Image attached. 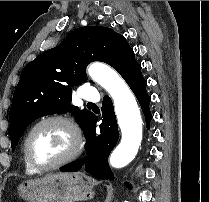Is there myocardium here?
Here are the masks:
<instances>
[{
  "instance_id": "myocardium-1",
  "label": "myocardium",
  "mask_w": 209,
  "mask_h": 202,
  "mask_svg": "<svg viewBox=\"0 0 209 202\" xmlns=\"http://www.w3.org/2000/svg\"><path fill=\"white\" fill-rule=\"evenodd\" d=\"M47 123H58L66 128V130L69 132L71 139H72V145L69 149V151L61 157L59 160H57L54 163L48 164V165H40L37 162H35L31 156L30 153V139L33 135V133L42 125ZM84 145V139L81 132L80 127L78 124L70 117L62 114H52L47 115L38 121H36L28 130L27 134L25 135L24 141H23V153L25 156V159L27 163L36 171L38 172H44V171H50L58 169L72 161H74L82 152Z\"/></svg>"
}]
</instances>
